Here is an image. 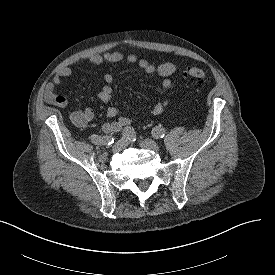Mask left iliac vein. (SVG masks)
<instances>
[{"label":"left iliac vein","instance_id":"obj_1","mask_svg":"<svg viewBox=\"0 0 275 275\" xmlns=\"http://www.w3.org/2000/svg\"><path fill=\"white\" fill-rule=\"evenodd\" d=\"M140 146L143 149H147V150H150V151H153L156 153H158L160 151L158 144L155 141H153L152 139H145V140L141 141Z\"/></svg>","mask_w":275,"mask_h":275}]
</instances>
